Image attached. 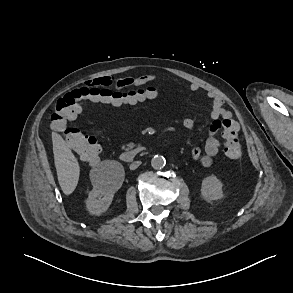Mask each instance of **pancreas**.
<instances>
[{
    "label": "pancreas",
    "mask_w": 293,
    "mask_h": 293,
    "mask_svg": "<svg viewBox=\"0 0 293 293\" xmlns=\"http://www.w3.org/2000/svg\"><path fill=\"white\" fill-rule=\"evenodd\" d=\"M134 147H135V144H134V143H129V144L127 145L126 150L132 149V148H134Z\"/></svg>",
    "instance_id": "1"
}]
</instances>
